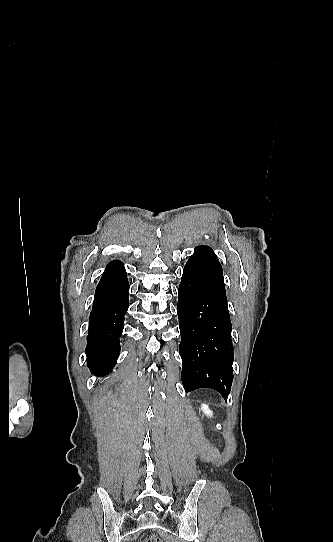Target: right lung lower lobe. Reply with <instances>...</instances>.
Masks as SVG:
<instances>
[{"mask_svg":"<svg viewBox=\"0 0 333 542\" xmlns=\"http://www.w3.org/2000/svg\"><path fill=\"white\" fill-rule=\"evenodd\" d=\"M128 296L129 283L124 265L119 260L112 261L96 287L89 316L86 355L87 366L93 374L104 376L116 364Z\"/></svg>","mask_w":333,"mask_h":542,"instance_id":"right-lung-lower-lobe-1","label":"right lung lower lobe"}]
</instances>
